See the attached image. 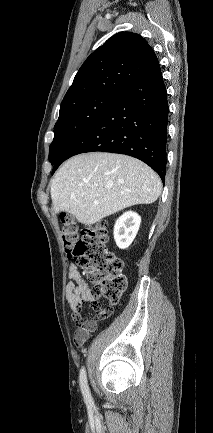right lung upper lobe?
<instances>
[{"instance_id":"obj_1","label":"right lung upper lobe","mask_w":213,"mask_h":433,"mask_svg":"<svg viewBox=\"0 0 213 433\" xmlns=\"http://www.w3.org/2000/svg\"><path fill=\"white\" fill-rule=\"evenodd\" d=\"M157 63L155 52L143 37L117 33L86 59L61 105L102 92L122 94Z\"/></svg>"}]
</instances>
